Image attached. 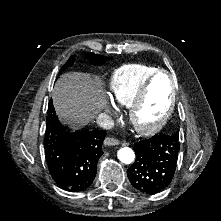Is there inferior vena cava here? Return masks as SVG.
Segmentation results:
<instances>
[{
    "instance_id": "obj_1",
    "label": "inferior vena cava",
    "mask_w": 221,
    "mask_h": 221,
    "mask_svg": "<svg viewBox=\"0 0 221 221\" xmlns=\"http://www.w3.org/2000/svg\"><path fill=\"white\" fill-rule=\"evenodd\" d=\"M97 124L103 129H111L114 127V121L107 113H101L98 115Z\"/></svg>"
}]
</instances>
